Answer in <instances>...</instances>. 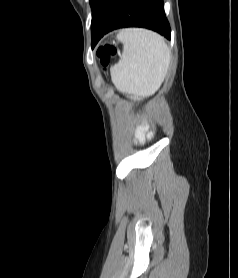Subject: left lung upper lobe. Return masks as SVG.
<instances>
[{
    "label": "left lung upper lobe",
    "mask_w": 238,
    "mask_h": 278,
    "mask_svg": "<svg viewBox=\"0 0 238 278\" xmlns=\"http://www.w3.org/2000/svg\"><path fill=\"white\" fill-rule=\"evenodd\" d=\"M97 0H90V5H91V9L93 8V6L95 5Z\"/></svg>",
    "instance_id": "left-lung-upper-lobe-1"
}]
</instances>
